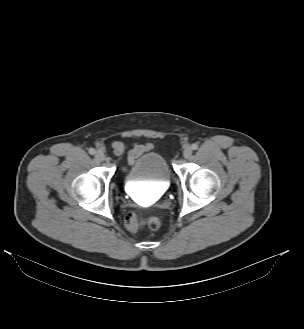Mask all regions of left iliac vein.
<instances>
[{
  "label": "left iliac vein",
  "instance_id": "obj_1",
  "mask_svg": "<svg viewBox=\"0 0 304 329\" xmlns=\"http://www.w3.org/2000/svg\"><path fill=\"white\" fill-rule=\"evenodd\" d=\"M192 155V149L190 147H186L183 151V156L188 159Z\"/></svg>",
  "mask_w": 304,
  "mask_h": 329
}]
</instances>
